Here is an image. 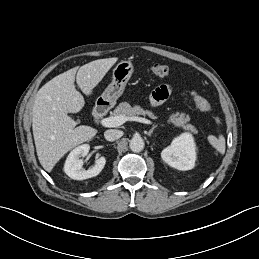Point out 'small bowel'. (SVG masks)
I'll list each match as a JSON object with an SVG mask.
<instances>
[{"instance_id":"1","label":"small bowel","mask_w":259,"mask_h":259,"mask_svg":"<svg viewBox=\"0 0 259 259\" xmlns=\"http://www.w3.org/2000/svg\"><path fill=\"white\" fill-rule=\"evenodd\" d=\"M171 88L168 85L158 87L151 95L150 101L153 105L162 103L170 94Z\"/></svg>"}]
</instances>
